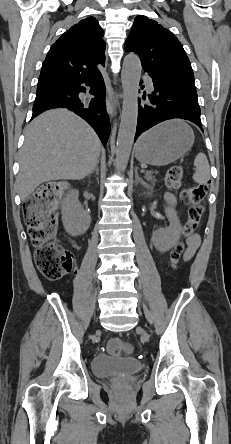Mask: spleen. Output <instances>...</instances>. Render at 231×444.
Here are the masks:
<instances>
[{
  "mask_svg": "<svg viewBox=\"0 0 231 444\" xmlns=\"http://www.w3.org/2000/svg\"><path fill=\"white\" fill-rule=\"evenodd\" d=\"M195 173L193 180L196 183L204 184L210 179V167L207 157L204 153H199L194 160Z\"/></svg>",
  "mask_w": 231,
  "mask_h": 444,
  "instance_id": "1",
  "label": "spleen"
}]
</instances>
